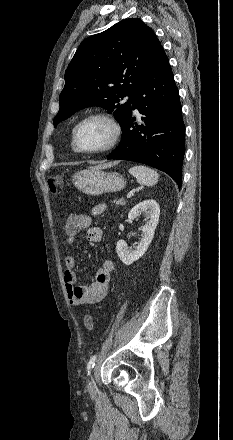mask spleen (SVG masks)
Masks as SVG:
<instances>
[{"label": "spleen", "mask_w": 233, "mask_h": 440, "mask_svg": "<svg viewBox=\"0 0 233 440\" xmlns=\"http://www.w3.org/2000/svg\"><path fill=\"white\" fill-rule=\"evenodd\" d=\"M129 173L134 176L141 185L153 186L158 182V173L144 165H136L129 169Z\"/></svg>", "instance_id": "obj_1"}]
</instances>
